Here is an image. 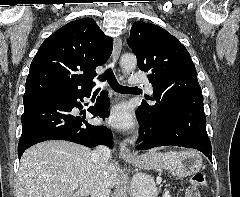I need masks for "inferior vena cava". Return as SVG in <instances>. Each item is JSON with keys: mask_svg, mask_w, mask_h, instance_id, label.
Listing matches in <instances>:
<instances>
[{"mask_svg": "<svg viewBox=\"0 0 240 197\" xmlns=\"http://www.w3.org/2000/svg\"><path fill=\"white\" fill-rule=\"evenodd\" d=\"M110 156L111 150L103 145L98 146L92 152V160L99 170V175L93 186L92 197H110V189L104 177Z\"/></svg>", "mask_w": 240, "mask_h": 197, "instance_id": "inferior-vena-cava-1", "label": "inferior vena cava"}]
</instances>
